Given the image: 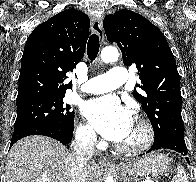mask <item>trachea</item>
I'll return each mask as SVG.
<instances>
[{"label":"trachea","instance_id":"1","mask_svg":"<svg viewBox=\"0 0 196 182\" xmlns=\"http://www.w3.org/2000/svg\"><path fill=\"white\" fill-rule=\"evenodd\" d=\"M99 47L100 44L98 35L92 34L87 44V54L91 61H94L96 59L99 52Z\"/></svg>","mask_w":196,"mask_h":182}]
</instances>
